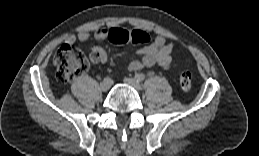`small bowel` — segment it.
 <instances>
[{"label": "small bowel", "mask_w": 259, "mask_h": 156, "mask_svg": "<svg viewBox=\"0 0 259 156\" xmlns=\"http://www.w3.org/2000/svg\"><path fill=\"white\" fill-rule=\"evenodd\" d=\"M116 29V28H112ZM112 29L102 28L97 30L93 38L97 42H102L108 39L109 33ZM91 38V35L87 31H81L77 36L69 35L66 38L68 43H74L77 39L81 42H86ZM174 51V44L169 42L163 36H157L147 46L139 48L136 54L139 59L133 60L129 64L131 71H137L145 67L160 66L163 69H169L173 66L172 53ZM90 60L93 63H105L108 60L107 52L100 46H94L91 48Z\"/></svg>", "instance_id": "small-bowel-1"}]
</instances>
